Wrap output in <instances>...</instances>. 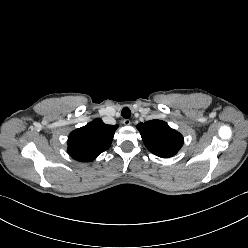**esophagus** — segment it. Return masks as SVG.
I'll return each mask as SVG.
<instances>
[{"instance_id": "obj_1", "label": "esophagus", "mask_w": 248, "mask_h": 248, "mask_svg": "<svg viewBox=\"0 0 248 248\" xmlns=\"http://www.w3.org/2000/svg\"><path fill=\"white\" fill-rule=\"evenodd\" d=\"M123 124H124L125 126H129V125L131 124V121H130L129 119H124V120H123Z\"/></svg>"}]
</instances>
